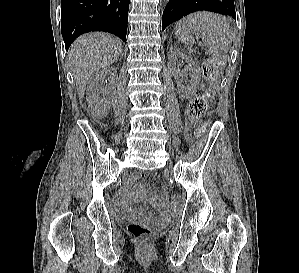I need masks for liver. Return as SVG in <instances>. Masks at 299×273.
<instances>
[{
    "instance_id": "1",
    "label": "liver",
    "mask_w": 299,
    "mask_h": 273,
    "mask_svg": "<svg viewBox=\"0 0 299 273\" xmlns=\"http://www.w3.org/2000/svg\"><path fill=\"white\" fill-rule=\"evenodd\" d=\"M121 51L122 42L107 33H88L75 40L68 51V59L80 98L91 75L117 61Z\"/></svg>"
}]
</instances>
